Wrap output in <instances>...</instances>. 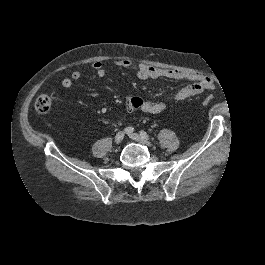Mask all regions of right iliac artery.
Listing matches in <instances>:
<instances>
[{"label":"right iliac artery","mask_w":265,"mask_h":265,"mask_svg":"<svg viewBox=\"0 0 265 265\" xmlns=\"http://www.w3.org/2000/svg\"><path fill=\"white\" fill-rule=\"evenodd\" d=\"M133 131H134V128L131 127V126L126 127V128L124 129V132H125L126 134H130V133H132Z\"/></svg>","instance_id":"obj_1"}]
</instances>
